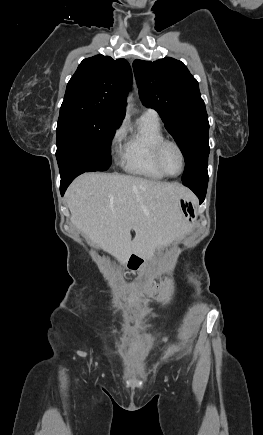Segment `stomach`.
Returning a JSON list of instances; mask_svg holds the SVG:
<instances>
[{"instance_id":"stomach-1","label":"stomach","mask_w":263,"mask_h":435,"mask_svg":"<svg viewBox=\"0 0 263 435\" xmlns=\"http://www.w3.org/2000/svg\"><path fill=\"white\" fill-rule=\"evenodd\" d=\"M177 205L183 217H185L187 220L190 219L191 221H194V217L196 215L195 202L190 195L179 198ZM143 262H145V258L137 254H131L127 261V265L130 269H141L145 264Z\"/></svg>"}]
</instances>
